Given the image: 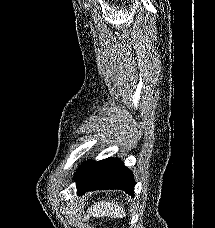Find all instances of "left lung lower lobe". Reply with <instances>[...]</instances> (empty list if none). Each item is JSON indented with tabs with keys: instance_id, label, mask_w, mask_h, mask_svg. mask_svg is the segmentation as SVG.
Wrapping results in <instances>:
<instances>
[{
	"instance_id": "obj_1",
	"label": "left lung lower lobe",
	"mask_w": 215,
	"mask_h": 228,
	"mask_svg": "<svg viewBox=\"0 0 215 228\" xmlns=\"http://www.w3.org/2000/svg\"><path fill=\"white\" fill-rule=\"evenodd\" d=\"M75 181L78 195L104 189H122L127 194L134 195L132 172L116 158L82 164L75 174Z\"/></svg>"
}]
</instances>
